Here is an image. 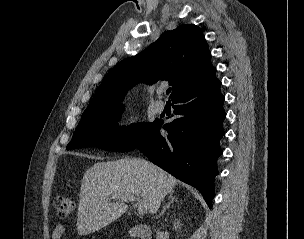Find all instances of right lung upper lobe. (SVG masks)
Returning a JSON list of instances; mask_svg holds the SVG:
<instances>
[{
	"instance_id": "right-lung-upper-lobe-1",
	"label": "right lung upper lobe",
	"mask_w": 304,
	"mask_h": 239,
	"mask_svg": "<svg viewBox=\"0 0 304 239\" xmlns=\"http://www.w3.org/2000/svg\"><path fill=\"white\" fill-rule=\"evenodd\" d=\"M202 32L193 24L180 25L162 34L141 53L122 60L102 81L82 118L121 105L135 83L169 81L173 98L208 76L215 68Z\"/></svg>"
}]
</instances>
